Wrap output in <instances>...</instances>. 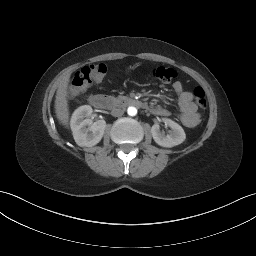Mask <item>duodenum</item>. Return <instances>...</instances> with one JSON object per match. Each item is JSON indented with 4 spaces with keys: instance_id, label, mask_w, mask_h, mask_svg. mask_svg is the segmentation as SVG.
<instances>
[{
    "instance_id": "duodenum-1",
    "label": "duodenum",
    "mask_w": 256,
    "mask_h": 256,
    "mask_svg": "<svg viewBox=\"0 0 256 256\" xmlns=\"http://www.w3.org/2000/svg\"><path fill=\"white\" fill-rule=\"evenodd\" d=\"M89 102L96 109H104L110 104V101L108 100V98L101 94L91 95L89 98ZM125 103L128 105L137 106L141 108L148 107V105L145 102L135 98H129L125 101Z\"/></svg>"
}]
</instances>
